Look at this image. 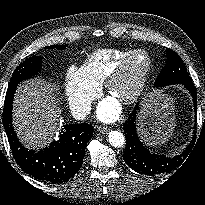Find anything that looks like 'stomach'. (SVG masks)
Returning a JSON list of instances; mask_svg holds the SVG:
<instances>
[{
  "mask_svg": "<svg viewBox=\"0 0 205 205\" xmlns=\"http://www.w3.org/2000/svg\"><path fill=\"white\" fill-rule=\"evenodd\" d=\"M173 100L162 92H154L141 104L138 130L141 139L150 146L168 141L175 126Z\"/></svg>",
  "mask_w": 205,
  "mask_h": 205,
  "instance_id": "0dacf381",
  "label": "stomach"
}]
</instances>
